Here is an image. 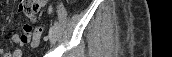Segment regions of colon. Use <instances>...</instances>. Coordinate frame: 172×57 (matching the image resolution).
<instances>
[{"label":"colon","instance_id":"obj_1","mask_svg":"<svg viewBox=\"0 0 172 57\" xmlns=\"http://www.w3.org/2000/svg\"><path fill=\"white\" fill-rule=\"evenodd\" d=\"M42 30H43L42 27H37V28L35 29V31H36V32H39V33H42Z\"/></svg>","mask_w":172,"mask_h":57}]
</instances>
